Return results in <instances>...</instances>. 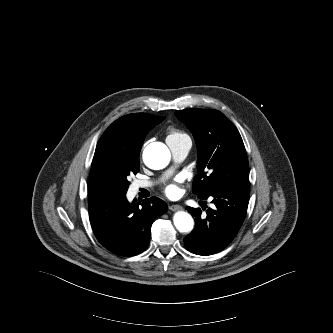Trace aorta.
<instances>
[{
  "instance_id": "1",
  "label": "aorta",
  "mask_w": 333,
  "mask_h": 333,
  "mask_svg": "<svg viewBox=\"0 0 333 333\" xmlns=\"http://www.w3.org/2000/svg\"><path fill=\"white\" fill-rule=\"evenodd\" d=\"M171 154L166 145L160 142L149 144L143 151V161L151 169L160 170L170 162ZM176 229L182 233L193 230L194 220L192 216L184 211H178L173 216Z\"/></svg>"
}]
</instances>
